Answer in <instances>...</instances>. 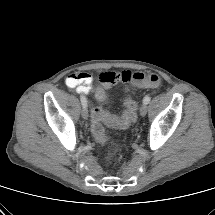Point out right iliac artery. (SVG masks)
I'll return each instance as SVG.
<instances>
[{
  "label": "right iliac artery",
  "mask_w": 215,
  "mask_h": 215,
  "mask_svg": "<svg viewBox=\"0 0 215 215\" xmlns=\"http://www.w3.org/2000/svg\"><path fill=\"white\" fill-rule=\"evenodd\" d=\"M80 100H81L82 106L87 105V101H86V98L84 96H80Z\"/></svg>",
  "instance_id": "obj_1"
}]
</instances>
